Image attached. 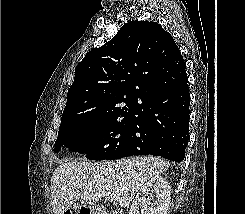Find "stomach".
Returning a JSON list of instances; mask_svg holds the SVG:
<instances>
[{"mask_svg":"<svg viewBox=\"0 0 245 214\" xmlns=\"http://www.w3.org/2000/svg\"><path fill=\"white\" fill-rule=\"evenodd\" d=\"M71 208L76 209V210L79 211L81 207L78 206V205L73 204V205L71 206ZM64 213H69V210L65 211Z\"/></svg>","mask_w":245,"mask_h":214,"instance_id":"stomach-1","label":"stomach"}]
</instances>
